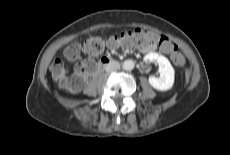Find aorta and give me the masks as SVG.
<instances>
[{
    "instance_id": "762f6f07",
    "label": "aorta",
    "mask_w": 230,
    "mask_h": 155,
    "mask_svg": "<svg viewBox=\"0 0 230 155\" xmlns=\"http://www.w3.org/2000/svg\"><path fill=\"white\" fill-rule=\"evenodd\" d=\"M134 67H135V63L133 60H125L123 62V69L124 70L130 71V70L134 69Z\"/></svg>"
}]
</instances>
